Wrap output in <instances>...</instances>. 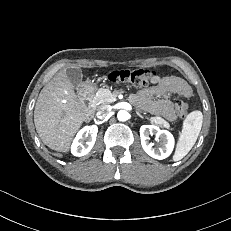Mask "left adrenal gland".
Returning a JSON list of instances; mask_svg holds the SVG:
<instances>
[{
	"instance_id": "obj_1",
	"label": "left adrenal gland",
	"mask_w": 231,
	"mask_h": 231,
	"mask_svg": "<svg viewBox=\"0 0 231 231\" xmlns=\"http://www.w3.org/2000/svg\"><path fill=\"white\" fill-rule=\"evenodd\" d=\"M136 114H137L140 118H143V116H142L139 112L136 111Z\"/></svg>"
}]
</instances>
